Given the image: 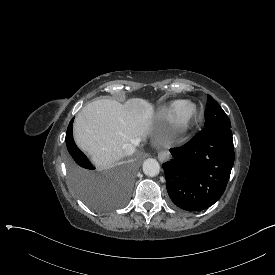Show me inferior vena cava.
<instances>
[{
    "label": "inferior vena cava",
    "instance_id": "obj_1",
    "mask_svg": "<svg viewBox=\"0 0 275 275\" xmlns=\"http://www.w3.org/2000/svg\"><path fill=\"white\" fill-rule=\"evenodd\" d=\"M122 150L125 155H132L135 152V146L131 143L124 144Z\"/></svg>",
    "mask_w": 275,
    "mask_h": 275
}]
</instances>
